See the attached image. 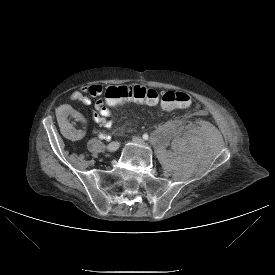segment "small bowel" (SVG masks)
Returning <instances> with one entry per match:
<instances>
[{
  "instance_id": "c3829d8e",
  "label": "small bowel",
  "mask_w": 275,
  "mask_h": 275,
  "mask_svg": "<svg viewBox=\"0 0 275 275\" xmlns=\"http://www.w3.org/2000/svg\"><path fill=\"white\" fill-rule=\"evenodd\" d=\"M106 89L103 85L93 84L86 85L74 91L70 95V100L80 102L86 105L95 102L94 120L105 128L112 126L111 111L103 107L104 93ZM74 111L70 105H63L59 108L56 118L57 125L61 129L62 135L68 140L81 141L85 137V118L81 114H73Z\"/></svg>"
}]
</instances>
